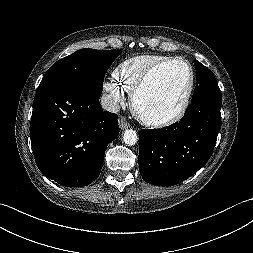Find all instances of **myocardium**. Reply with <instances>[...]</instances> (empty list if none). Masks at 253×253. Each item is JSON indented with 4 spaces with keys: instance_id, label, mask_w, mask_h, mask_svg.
Returning <instances> with one entry per match:
<instances>
[{
    "instance_id": "f54148a6",
    "label": "myocardium",
    "mask_w": 253,
    "mask_h": 253,
    "mask_svg": "<svg viewBox=\"0 0 253 253\" xmlns=\"http://www.w3.org/2000/svg\"><path fill=\"white\" fill-rule=\"evenodd\" d=\"M175 62L183 63L188 68V71H189V85H188L187 91L184 95V98L182 100L180 107L178 108V110L174 114H172L171 116L165 117V118H148V117L143 116L139 112L138 107H137V100H138L140 93L142 92V90L147 85V83L149 82V80L151 79V77L154 75V73L156 71H158L160 68H162L164 66L170 65ZM194 87H195V71H194V68H193L192 64L190 63V61H188L184 57H172V58L163 60V61L155 63L151 67H149L144 72V74L141 76V78L139 79L137 84L135 85V87L131 93L132 110H133L134 114L136 115V117L143 124H145L147 126L167 127V126L173 125V124L179 122L186 114L189 104H190V101H191V98H192V95H193Z\"/></svg>"
}]
</instances>
